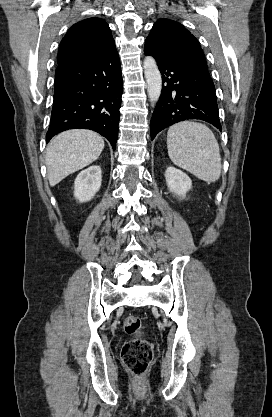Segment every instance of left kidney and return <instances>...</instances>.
Masks as SVG:
<instances>
[{
	"label": "left kidney",
	"mask_w": 272,
	"mask_h": 417,
	"mask_svg": "<svg viewBox=\"0 0 272 417\" xmlns=\"http://www.w3.org/2000/svg\"><path fill=\"white\" fill-rule=\"evenodd\" d=\"M165 179L170 192L182 198H185L186 193L192 187L189 176L172 166L166 169Z\"/></svg>",
	"instance_id": "5707ae66"
}]
</instances>
